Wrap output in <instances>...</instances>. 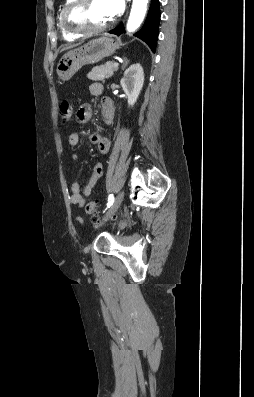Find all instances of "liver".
<instances>
[{"instance_id": "6515ba94", "label": "liver", "mask_w": 254, "mask_h": 397, "mask_svg": "<svg viewBox=\"0 0 254 397\" xmlns=\"http://www.w3.org/2000/svg\"><path fill=\"white\" fill-rule=\"evenodd\" d=\"M70 47H73V46L66 47V48H64L63 50L68 49V48H70Z\"/></svg>"}]
</instances>
